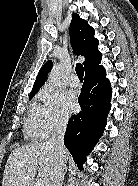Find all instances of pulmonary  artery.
Masks as SVG:
<instances>
[{"instance_id":"obj_1","label":"pulmonary artery","mask_w":138,"mask_h":186,"mask_svg":"<svg viewBox=\"0 0 138 186\" xmlns=\"http://www.w3.org/2000/svg\"><path fill=\"white\" fill-rule=\"evenodd\" d=\"M69 84L72 87H78L79 86V80L76 75H71L69 78Z\"/></svg>"}]
</instances>
